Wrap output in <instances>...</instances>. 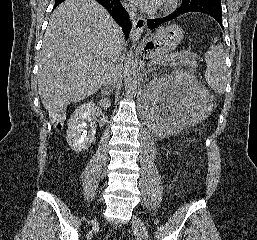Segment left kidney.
<instances>
[{
  "label": "left kidney",
  "instance_id": "left-kidney-1",
  "mask_svg": "<svg viewBox=\"0 0 257 240\" xmlns=\"http://www.w3.org/2000/svg\"><path fill=\"white\" fill-rule=\"evenodd\" d=\"M144 113L150 129L175 135L201 122L209 110V93L195 77L175 71L153 79L144 89Z\"/></svg>",
  "mask_w": 257,
  "mask_h": 240
}]
</instances>
